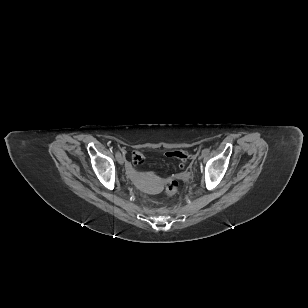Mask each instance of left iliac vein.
I'll use <instances>...</instances> for the list:
<instances>
[{
  "instance_id": "4c4485c4",
  "label": "left iliac vein",
  "mask_w": 308,
  "mask_h": 308,
  "mask_svg": "<svg viewBox=\"0 0 308 308\" xmlns=\"http://www.w3.org/2000/svg\"><path fill=\"white\" fill-rule=\"evenodd\" d=\"M207 153L205 151H202V154L200 155L199 159H201L202 157H204Z\"/></svg>"
}]
</instances>
